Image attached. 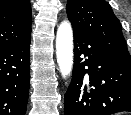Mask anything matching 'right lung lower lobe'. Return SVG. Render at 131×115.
Wrapping results in <instances>:
<instances>
[{
    "mask_svg": "<svg viewBox=\"0 0 131 115\" xmlns=\"http://www.w3.org/2000/svg\"><path fill=\"white\" fill-rule=\"evenodd\" d=\"M30 38L0 49V115H25L30 84Z\"/></svg>",
    "mask_w": 131,
    "mask_h": 115,
    "instance_id": "right-lung-lower-lobe-1",
    "label": "right lung lower lobe"
}]
</instances>
